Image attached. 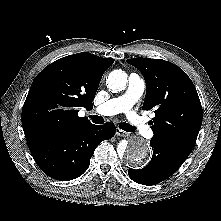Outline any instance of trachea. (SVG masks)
<instances>
[{
	"label": "trachea",
	"instance_id": "3493384b",
	"mask_svg": "<svg viewBox=\"0 0 221 221\" xmlns=\"http://www.w3.org/2000/svg\"><path fill=\"white\" fill-rule=\"evenodd\" d=\"M91 120L95 124H103L104 123V118L98 115H93L91 116ZM119 127L127 132H133L135 128L131 126L130 124L127 123H120Z\"/></svg>",
	"mask_w": 221,
	"mask_h": 221
}]
</instances>
